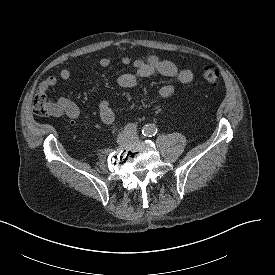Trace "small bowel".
<instances>
[{"label":"small bowel","instance_id":"small-bowel-1","mask_svg":"<svg viewBox=\"0 0 275 275\" xmlns=\"http://www.w3.org/2000/svg\"><path fill=\"white\" fill-rule=\"evenodd\" d=\"M122 64H132L133 70L126 72L118 76L117 83L124 88L134 87L138 81L142 78L150 77L154 74L172 78L181 84H189L193 80V73L188 69H179L173 62L162 60L156 55H149L145 59L131 60L130 57L124 56L121 59ZM111 60L109 57H102L99 60L100 66L106 68L110 65ZM72 76V70L69 68H63L60 70L58 76L51 75L45 81H43L39 88L46 91L50 87L57 84L59 80H68ZM175 91L174 85L171 83L163 84L158 90V96L160 98H168ZM99 115L101 121L106 125H113L115 123V114L107 99H101L98 105ZM54 117H66L73 123L79 119L80 110L78 106L66 99L60 98L54 105V109L51 112Z\"/></svg>","mask_w":275,"mask_h":275}]
</instances>
